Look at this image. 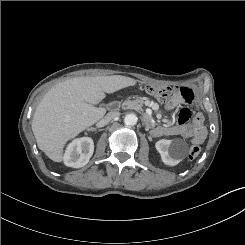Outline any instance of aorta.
Returning <instances> with one entry per match:
<instances>
[{"mask_svg":"<svg viewBox=\"0 0 245 245\" xmlns=\"http://www.w3.org/2000/svg\"><path fill=\"white\" fill-rule=\"evenodd\" d=\"M124 123L127 126H134L137 123V116L135 114H127L124 117Z\"/></svg>","mask_w":245,"mask_h":245,"instance_id":"762f6f07","label":"aorta"}]
</instances>
